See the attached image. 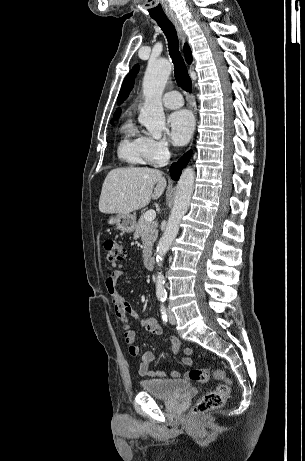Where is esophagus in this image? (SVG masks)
<instances>
[{
  "instance_id": "1",
  "label": "esophagus",
  "mask_w": 305,
  "mask_h": 461,
  "mask_svg": "<svg viewBox=\"0 0 305 461\" xmlns=\"http://www.w3.org/2000/svg\"><path fill=\"white\" fill-rule=\"evenodd\" d=\"M169 20L173 23V25H174L177 33H178L181 45L183 46L184 43L187 40V37H186V34H185V32H184V30L182 28V25H181L180 21L177 19L176 16H169Z\"/></svg>"
}]
</instances>
